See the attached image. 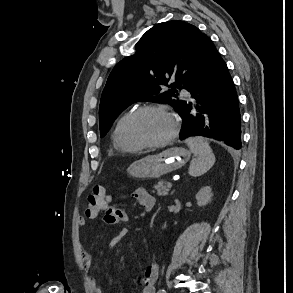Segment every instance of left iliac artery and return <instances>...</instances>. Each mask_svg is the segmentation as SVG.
Here are the masks:
<instances>
[{
    "mask_svg": "<svg viewBox=\"0 0 293 293\" xmlns=\"http://www.w3.org/2000/svg\"><path fill=\"white\" fill-rule=\"evenodd\" d=\"M158 293H166V291L164 289H161Z\"/></svg>",
    "mask_w": 293,
    "mask_h": 293,
    "instance_id": "1",
    "label": "left iliac artery"
}]
</instances>
